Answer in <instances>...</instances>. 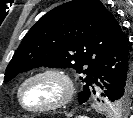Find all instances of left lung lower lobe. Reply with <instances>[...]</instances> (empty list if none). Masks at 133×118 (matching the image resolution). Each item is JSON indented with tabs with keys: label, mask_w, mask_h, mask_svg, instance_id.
<instances>
[{
	"label": "left lung lower lobe",
	"mask_w": 133,
	"mask_h": 118,
	"mask_svg": "<svg viewBox=\"0 0 133 118\" xmlns=\"http://www.w3.org/2000/svg\"><path fill=\"white\" fill-rule=\"evenodd\" d=\"M132 79L129 41L120 29L95 66L90 95L95 94L94 86L97 85L102 90L101 96L110 102L115 103L126 95L131 101Z\"/></svg>",
	"instance_id": "0a47b994"
}]
</instances>
